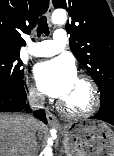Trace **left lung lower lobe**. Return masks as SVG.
Returning a JSON list of instances; mask_svg holds the SVG:
<instances>
[{"mask_svg":"<svg viewBox=\"0 0 114 156\" xmlns=\"http://www.w3.org/2000/svg\"><path fill=\"white\" fill-rule=\"evenodd\" d=\"M91 118L102 120L114 125V102H110L106 105H100L99 111Z\"/></svg>","mask_w":114,"mask_h":156,"instance_id":"1","label":"left lung lower lobe"}]
</instances>
